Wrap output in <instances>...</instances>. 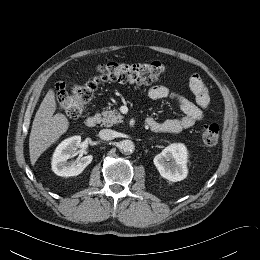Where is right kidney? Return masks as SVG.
<instances>
[{"instance_id": "1", "label": "right kidney", "mask_w": 260, "mask_h": 260, "mask_svg": "<svg viewBox=\"0 0 260 260\" xmlns=\"http://www.w3.org/2000/svg\"><path fill=\"white\" fill-rule=\"evenodd\" d=\"M81 143L80 136H73L62 141L52 158V171L62 177L77 176L92 162L93 156L87 155L76 162H68Z\"/></svg>"}]
</instances>
